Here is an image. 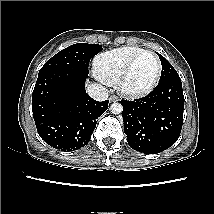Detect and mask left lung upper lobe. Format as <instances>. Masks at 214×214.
<instances>
[{
  "mask_svg": "<svg viewBox=\"0 0 214 214\" xmlns=\"http://www.w3.org/2000/svg\"><path fill=\"white\" fill-rule=\"evenodd\" d=\"M162 64V73L160 81H164L171 78H180L174 67L159 53H157Z\"/></svg>",
  "mask_w": 214,
  "mask_h": 214,
  "instance_id": "left-lung-upper-lobe-1",
  "label": "left lung upper lobe"
}]
</instances>
